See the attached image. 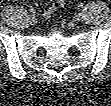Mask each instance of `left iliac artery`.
<instances>
[{"mask_svg":"<svg viewBox=\"0 0 111 106\" xmlns=\"http://www.w3.org/2000/svg\"><path fill=\"white\" fill-rule=\"evenodd\" d=\"M79 8H83V4H79V6H78Z\"/></svg>","mask_w":111,"mask_h":106,"instance_id":"44dca946","label":"left iliac artery"}]
</instances>
